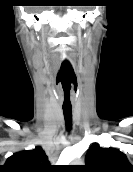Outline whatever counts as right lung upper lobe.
Listing matches in <instances>:
<instances>
[{
	"label": "right lung upper lobe",
	"instance_id": "cb5924a9",
	"mask_svg": "<svg viewBox=\"0 0 133 172\" xmlns=\"http://www.w3.org/2000/svg\"><path fill=\"white\" fill-rule=\"evenodd\" d=\"M49 170L48 157L39 146L33 150L13 154L3 166H0V172H49Z\"/></svg>",
	"mask_w": 133,
	"mask_h": 172
}]
</instances>
